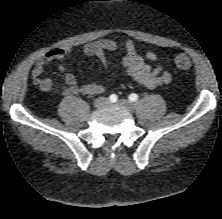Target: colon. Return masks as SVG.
Masks as SVG:
<instances>
[{
	"instance_id": "5ec220e1",
	"label": "colon",
	"mask_w": 222,
	"mask_h": 219,
	"mask_svg": "<svg viewBox=\"0 0 222 219\" xmlns=\"http://www.w3.org/2000/svg\"><path fill=\"white\" fill-rule=\"evenodd\" d=\"M172 59L175 66L180 70H190L192 68V62L190 58L183 53H172Z\"/></svg>"
}]
</instances>
